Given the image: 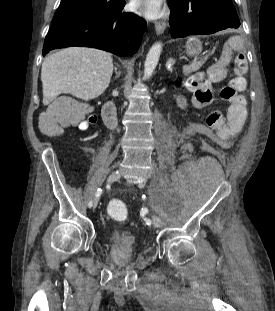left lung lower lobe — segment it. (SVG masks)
<instances>
[{
	"label": "left lung lower lobe",
	"instance_id": "left-lung-lower-lobe-1",
	"mask_svg": "<svg viewBox=\"0 0 275 311\" xmlns=\"http://www.w3.org/2000/svg\"><path fill=\"white\" fill-rule=\"evenodd\" d=\"M169 8L173 38L212 34L240 26L235 7L227 0H170Z\"/></svg>",
	"mask_w": 275,
	"mask_h": 311
}]
</instances>
